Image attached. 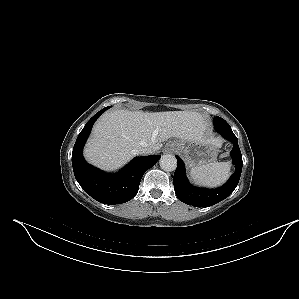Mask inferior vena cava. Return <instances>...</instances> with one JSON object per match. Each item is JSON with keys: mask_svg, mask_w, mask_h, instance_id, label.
<instances>
[{"mask_svg": "<svg viewBox=\"0 0 299 299\" xmlns=\"http://www.w3.org/2000/svg\"><path fill=\"white\" fill-rule=\"evenodd\" d=\"M138 153L147 155V154H151L152 150L149 147H142L138 150Z\"/></svg>", "mask_w": 299, "mask_h": 299, "instance_id": "602c4592", "label": "inferior vena cava"}]
</instances>
